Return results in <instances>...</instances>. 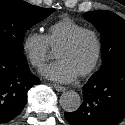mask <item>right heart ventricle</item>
I'll return each instance as SVG.
<instances>
[{
  "label": "right heart ventricle",
  "mask_w": 125,
  "mask_h": 125,
  "mask_svg": "<svg viewBox=\"0 0 125 125\" xmlns=\"http://www.w3.org/2000/svg\"><path fill=\"white\" fill-rule=\"evenodd\" d=\"M85 27L70 18L61 19L51 24L46 33L47 42L52 50L67 41L74 33L84 29Z\"/></svg>",
  "instance_id": "1"
}]
</instances>
